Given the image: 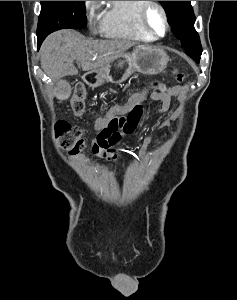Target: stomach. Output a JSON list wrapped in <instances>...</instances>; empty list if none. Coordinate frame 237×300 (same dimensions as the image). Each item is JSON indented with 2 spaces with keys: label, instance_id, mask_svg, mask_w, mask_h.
I'll list each match as a JSON object with an SVG mask.
<instances>
[{
  "label": "stomach",
  "instance_id": "obj_1",
  "mask_svg": "<svg viewBox=\"0 0 237 300\" xmlns=\"http://www.w3.org/2000/svg\"><path fill=\"white\" fill-rule=\"evenodd\" d=\"M169 57L164 49L152 45H138L131 53H119L114 61L104 65L96 73L97 85L107 83H123L135 71L142 75H159L168 65Z\"/></svg>",
  "mask_w": 237,
  "mask_h": 300
}]
</instances>
